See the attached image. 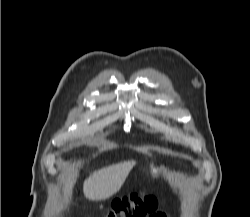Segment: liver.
Returning <instances> with one entry per match:
<instances>
[{
  "label": "liver",
  "mask_w": 250,
  "mask_h": 217,
  "mask_svg": "<svg viewBox=\"0 0 250 217\" xmlns=\"http://www.w3.org/2000/svg\"><path fill=\"white\" fill-rule=\"evenodd\" d=\"M125 161L93 172L83 184V193L91 201H102L116 194L135 165Z\"/></svg>",
  "instance_id": "obj_1"
}]
</instances>
